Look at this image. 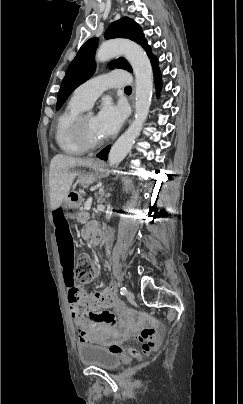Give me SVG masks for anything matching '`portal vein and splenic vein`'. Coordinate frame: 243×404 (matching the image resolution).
<instances>
[{
	"label": "portal vein and splenic vein",
	"mask_w": 243,
	"mask_h": 404,
	"mask_svg": "<svg viewBox=\"0 0 243 404\" xmlns=\"http://www.w3.org/2000/svg\"><path fill=\"white\" fill-rule=\"evenodd\" d=\"M92 204V198H88L87 202H85L84 210H90Z\"/></svg>",
	"instance_id": "1"
}]
</instances>
